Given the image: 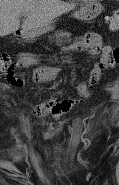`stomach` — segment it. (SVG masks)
Here are the masks:
<instances>
[{
  "label": "stomach",
  "instance_id": "1",
  "mask_svg": "<svg viewBox=\"0 0 119 185\" xmlns=\"http://www.w3.org/2000/svg\"><path fill=\"white\" fill-rule=\"evenodd\" d=\"M79 11H76L74 16L80 20L89 21L95 19L103 10L102 4L98 0H84ZM52 26L32 30H22L21 37L25 41H32L36 37L52 30Z\"/></svg>",
  "mask_w": 119,
  "mask_h": 185
}]
</instances>
